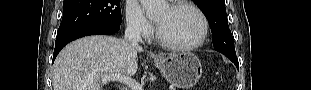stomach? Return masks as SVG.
<instances>
[{
    "mask_svg": "<svg viewBox=\"0 0 311 90\" xmlns=\"http://www.w3.org/2000/svg\"><path fill=\"white\" fill-rule=\"evenodd\" d=\"M164 78L177 88L193 87L202 75L199 59L192 53H171L154 59Z\"/></svg>",
    "mask_w": 311,
    "mask_h": 90,
    "instance_id": "obj_1",
    "label": "stomach"
}]
</instances>
